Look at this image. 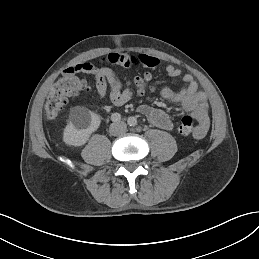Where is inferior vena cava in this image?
<instances>
[{"label":"inferior vena cava","mask_w":259,"mask_h":259,"mask_svg":"<svg viewBox=\"0 0 259 259\" xmlns=\"http://www.w3.org/2000/svg\"><path fill=\"white\" fill-rule=\"evenodd\" d=\"M110 133L113 136L123 135L127 131V126L124 122H116L110 125Z\"/></svg>","instance_id":"inferior-vena-cava-1"}]
</instances>
